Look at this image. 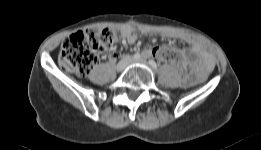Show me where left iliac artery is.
<instances>
[{"instance_id": "obj_1", "label": "left iliac artery", "mask_w": 261, "mask_h": 150, "mask_svg": "<svg viewBox=\"0 0 261 150\" xmlns=\"http://www.w3.org/2000/svg\"><path fill=\"white\" fill-rule=\"evenodd\" d=\"M149 65L153 68V69H157V64L154 60H149Z\"/></svg>"}]
</instances>
